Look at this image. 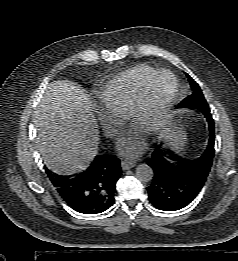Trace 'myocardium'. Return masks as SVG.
<instances>
[{
	"label": "myocardium",
	"instance_id": "1",
	"mask_svg": "<svg viewBox=\"0 0 238 261\" xmlns=\"http://www.w3.org/2000/svg\"><path fill=\"white\" fill-rule=\"evenodd\" d=\"M162 74H168L173 79V88L172 91L166 100L159 116L154 121L153 125L149 129V133L152 135H155L159 133L168 123L171 112L173 109V106L175 104L178 91H179V81L176 76V74L166 68L155 70L152 72L148 77L145 78V80L142 82L139 91L137 93V96L135 98V101L129 111L128 117L129 121L131 123L134 122V120L145 110L146 102H147V90L150 85V83L159 75Z\"/></svg>",
	"mask_w": 238,
	"mask_h": 261
}]
</instances>
